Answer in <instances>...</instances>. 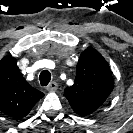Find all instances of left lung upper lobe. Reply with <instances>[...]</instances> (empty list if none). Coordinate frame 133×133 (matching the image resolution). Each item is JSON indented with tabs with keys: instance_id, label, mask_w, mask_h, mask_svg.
Instances as JSON below:
<instances>
[{
	"instance_id": "left-lung-upper-lobe-1",
	"label": "left lung upper lobe",
	"mask_w": 133,
	"mask_h": 133,
	"mask_svg": "<svg viewBox=\"0 0 133 133\" xmlns=\"http://www.w3.org/2000/svg\"><path fill=\"white\" fill-rule=\"evenodd\" d=\"M76 74L74 84L65 88L64 96L77 114L86 116L108 98L113 89V77L106 60L93 48L80 55Z\"/></svg>"
}]
</instances>
